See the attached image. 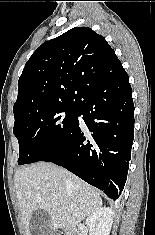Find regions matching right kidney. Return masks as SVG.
<instances>
[{
  "label": "right kidney",
  "mask_w": 155,
  "mask_h": 235,
  "mask_svg": "<svg viewBox=\"0 0 155 235\" xmlns=\"http://www.w3.org/2000/svg\"><path fill=\"white\" fill-rule=\"evenodd\" d=\"M114 212L110 208H100L86 219L89 235H109Z\"/></svg>",
  "instance_id": "right-kidney-1"
}]
</instances>
